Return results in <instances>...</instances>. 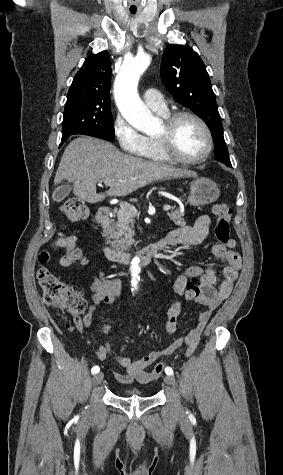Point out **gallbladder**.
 I'll return each mask as SVG.
<instances>
[{"instance_id": "obj_1", "label": "gallbladder", "mask_w": 283, "mask_h": 475, "mask_svg": "<svg viewBox=\"0 0 283 475\" xmlns=\"http://www.w3.org/2000/svg\"><path fill=\"white\" fill-rule=\"evenodd\" d=\"M71 190L70 184H67V186H59L53 194V200H55V202H61V200H64V198L70 194Z\"/></svg>"}]
</instances>
